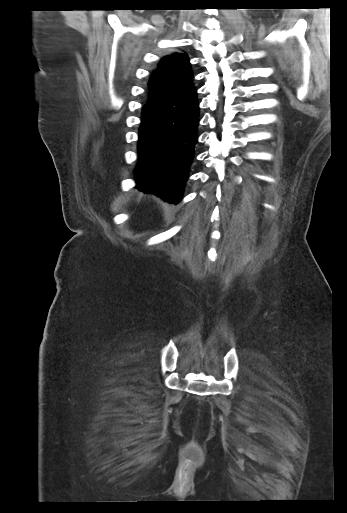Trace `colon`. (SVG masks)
<instances>
[{"label":"colon","mask_w":347,"mask_h":513,"mask_svg":"<svg viewBox=\"0 0 347 513\" xmlns=\"http://www.w3.org/2000/svg\"><path fill=\"white\" fill-rule=\"evenodd\" d=\"M185 454L187 458L194 461H200L202 459V453L200 449L194 444L187 447Z\"/></svg>","instance_id":"1"}]
</instances>
